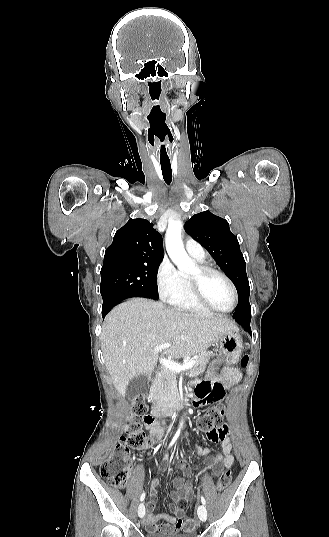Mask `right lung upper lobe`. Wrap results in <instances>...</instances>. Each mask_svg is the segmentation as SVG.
Returning a JSON list of instances; mask_svg holds the SVG:
<instances>
[{
	"label": "right lung upper lobe",
	"mask_w": 329,
	"mask_h": 537,
	"mask_svg": "<svg viewBox=\"0 0 329 537\" xmlns=\"http://www.w3.org/2000/svg\"><path fill=\"white\" fill-rule=\"evenodd\" d=\"M163 240L153 224L146 219H130L120 228L106 249L104 265L119 263H150L161 260Z\"/></svg>",
	"instance_id": "cb5924a9"
}]
</instances>
